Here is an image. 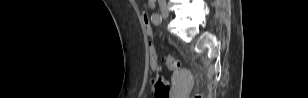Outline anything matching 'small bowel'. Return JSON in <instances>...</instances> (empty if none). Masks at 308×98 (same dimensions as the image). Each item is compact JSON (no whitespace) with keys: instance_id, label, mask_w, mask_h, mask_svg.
<instances>
[{"instance_id":"c3829d8e","label":"small bowel","mask_w":308,"mask_h":98,"mask_svg":"<svg viewBox=\"0 0 308 98\" xmlns=\"http://www.w3.org/2000/svg\"><path fill=\"white\" fill-rule=\"evenodd\" d=\"M144 7L147 9H153L155 8V0H149L144 4ZM148 15V14H147ZM145 24V22H144Z\"/></svg>"}]
</instances>
